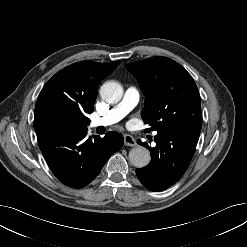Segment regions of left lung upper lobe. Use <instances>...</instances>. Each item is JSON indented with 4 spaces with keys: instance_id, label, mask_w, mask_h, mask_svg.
<instances>
[{
    "instance_id": "5c2ea615",
    "label": "left lung upper lobe",
    "mask_w": 247,
    "mask_h": 247,
    "mask_svg": "<svg viewBox=\"0 0 247 247\" xmlns=\"http://www.w3.org/2000/svg\"><path fill=\"white\" fill-rule=\"evenodd\" d=\"M127 69L146 96L141 116L151 130L160 132L182 125L200 132V95L193 78L180 64L166 57H152L129 63Z\"/></svg>"
}]
</instances>
